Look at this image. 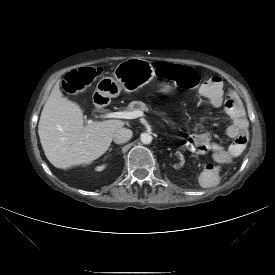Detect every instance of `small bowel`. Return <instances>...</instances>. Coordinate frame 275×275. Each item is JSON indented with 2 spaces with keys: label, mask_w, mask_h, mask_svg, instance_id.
Returning <instances> with one entry per match:
<instances>
[{
  "label": "small bowel",
  "mask_w": 275,
  "mask_h": 275,
  "mask_svg": "<svg viewBox=\"0 0 275 275\" xmlns=\"http://www.w3.org/2000/svg\"><path fill=\"white\" fill-rule=\"evenodd\" d=\"M202 94L212 107H219L223 103V83L220 77L214 76L202 87ZM232 103L226 108L227 114L231 119V124L227 133L232 138H237L242 131L248 127V121L244 109L235 94L231 96ZM186 151L193 156L207 155L212 148L209 135H199L190 138L185 145ZM238 154H231L220 148L213 149L199 167L200 175L197 177V186L204 191L212 189L216 182L221 178L222 172L219 168L225 163H231Z\"/></svg>",
  "instance_id": "c3829d8e"
}]
</instances>
